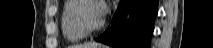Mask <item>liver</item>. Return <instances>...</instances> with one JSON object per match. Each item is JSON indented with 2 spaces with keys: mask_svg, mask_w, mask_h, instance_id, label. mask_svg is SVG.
Here are the masks:
<instances>
[{
  "mask_svg": "<svg viewBox=\"0 0 213 48\" xmlns=\"http://www.w3.org/2000/svg\"><path fill=\"white\" fill-rule=\"evenodd\" d=\"M70 48H98V44L96 43H84L80 45H73Z\"/></svg>",
  "mask_w": 213,
  "mask_h": 48,
  "instance_id": "obj_1",
  "label": "liver"
}]
</instances>
